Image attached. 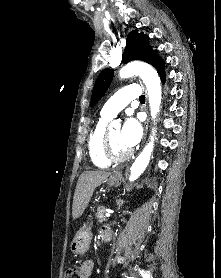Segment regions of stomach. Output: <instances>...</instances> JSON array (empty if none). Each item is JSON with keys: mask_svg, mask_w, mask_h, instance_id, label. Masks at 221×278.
Returning a JSON list of instances; mask_svg holds the SVG:
<instances>
[{"mask_svg": "<svg viewBox=\"0 0 221 278\" xmlns=\"http://www.w3.org/2000/svg\"><path fill=\"white\" fill-rule=\"evenodd\" d=\"M122 177L118 174H112L106 180L107 184L110 186H119L121 184ZM91 242V232L90 228L84 227L80 229L70 244V250L73 254L83 255L85 254L90 246Z\"/></svg>", "mask_w": 221, "mask_h": 278, "instance_id": "1", "label": "stomach"}]
</instances>
